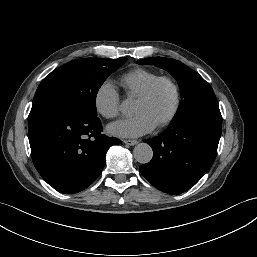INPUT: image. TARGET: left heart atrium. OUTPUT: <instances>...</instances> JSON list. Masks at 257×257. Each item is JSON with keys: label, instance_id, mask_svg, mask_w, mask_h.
<instances>
[{"label": "left heart atrium", "instance_id": "1", "mask_svg": "<svg viewBox=\"0 0 257 257\" xmlns=\"http://www.w3.org/2000/svg\"><path fill=\"white\" fill-rule=\"evenodd\" d=\"M157 125L144 113H136L134 116L119 120L109 125L111 134L133 138L151 132Z\"/></svg>", "mask_w": 257, "mask_h": 257}]
</instances>
